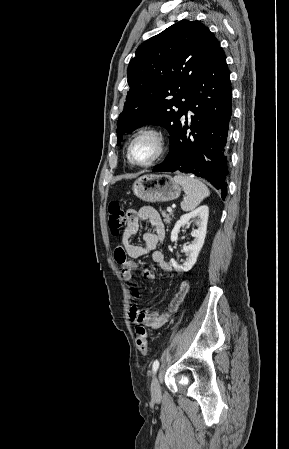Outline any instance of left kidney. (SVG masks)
<instances>
[{
    "label": "left kidney",
    "instance_id": "left-kidney-1",
    "mask_svg": "<svg viewBox=\"0 0 289 449\" xmlns=\"http://www.w3.org/2000/svg\"><path fill=\"white\" fill-rule=\"evenodd\" d=\"M208 216L209 208L208 206L203 205L188 214L182 215L175 224L171 232L172 242H176L178 240V233L181 227L189 224L191 219L198 218L196 221L197 229L191 232L192 237H194V241L188 246H183V251L187 256L186 261L182 265H179L174 259L170 260L171 265L177 272H188L196 263L206 237Z\"/></svg>",
    "mask_w": 289,
    "mask_h": 449
}]
</instances>
